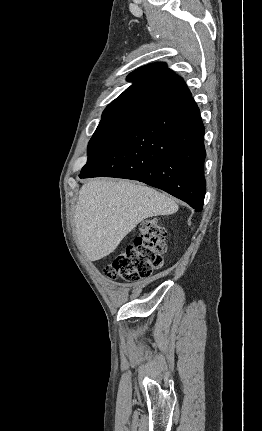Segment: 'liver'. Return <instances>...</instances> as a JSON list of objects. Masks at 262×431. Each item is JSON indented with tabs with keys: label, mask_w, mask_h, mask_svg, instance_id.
<instances>
[{
	"label": "liver",
	"mask_w": 262,
	"mask_h": 431,
	"mask_svg": "<svg viewBox=\"0 0 262 431\" xmlns=\"http://www.w3.org/2000/svg\"><path fill=\"white\" fill-rule=\"evenodd\" d=\"M177 211L172 197L153 188L127 180H90L76 204L77 245L90 261L100 260L144 219Z\"/></svg>",
	"instance_id": "liver-1"
}]
</instances>
